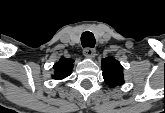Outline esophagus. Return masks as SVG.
Returning a JSON list of instances; mask_svg holds the SVG:
<instances>
[{"label":"esophagus","instance_id":"34e87169","mask_svg":"<svg viewBox=\"0 0 165 113\" xmlns=\"http://www.w3.org/2000/svg\"><path fill=\"white\" fill-rule=\"evenodd\" d=\"M95 52H96L95 49L90 47L84 48L83 50L84 56L89 58H93L95 56Z\"/></svg>","mask_w":165,"mask_h":113}]
</instances>
